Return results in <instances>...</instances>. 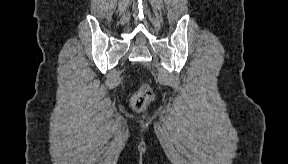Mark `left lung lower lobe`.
Here are the masks:
<instances>
[{
    "mask_svg": "<svg viewBox=\"0 0 288 164\" xmlns=\"http://www.w3.org/2000/svg\"><path fill=\"white\" fill-rule=\"evenodd\" d=\"M251 87L247 94L254 101H259L263 97V89L266 83V76L262 72H250Z\"/></svg>",
    "mask_w": 288,
    "mask_h": 164,
    "instance_id": "left-lung-lower-lobe-1",
    "label": "left lung lower lobe"
}]
</instances>
